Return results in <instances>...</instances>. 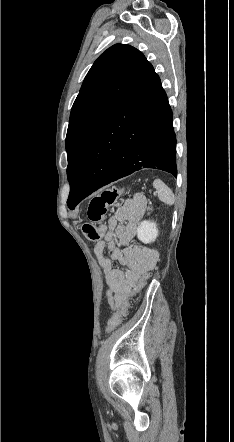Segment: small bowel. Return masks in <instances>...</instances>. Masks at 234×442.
Segmentation results:
<instances>
[{
    "instance_id": "obj_1",
    "label": "small bowel",
    "mask_w": 234,
    "mask_h": 442,
    "mask_svg": "<svg viewBox=\"0 0 234 442\" xmlns=\"http://www.w3.org/2000/svg\"><path fill=\"white\" fill-rule=\"evenodd\" d=\"M146 207L147 200L142 195L126 200L109 219L104 239L94 246V254L109 288L107 298L112 310L125 305L139 277L152 270L158 260L156 251L151 248L128 246ZM106 247L108 255H104ZM114 261L124 265L126 270L115 268Z\"/></svg>"
}]
</instances>
